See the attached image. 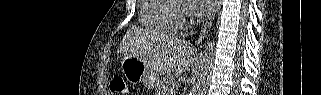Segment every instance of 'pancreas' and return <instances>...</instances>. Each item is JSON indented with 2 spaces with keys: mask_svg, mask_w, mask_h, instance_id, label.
<instances>
[{
  "mask_svg": "<svg viewBox=\"0 0 321 95\" xmlns=\"http://www.w3.org/2000/svg\"><path fill=\"white\" fill-rule=\"evenodd\" d=\"M178 84L171 74H167L156 86L157 95H171L176 92Z\"/></svg>",
  "mask_w": 321,
  "mask_h": 95,
  "instance_id": "pancreas-1",
  "label": "pancreas"
}]
</instances>
